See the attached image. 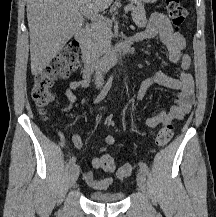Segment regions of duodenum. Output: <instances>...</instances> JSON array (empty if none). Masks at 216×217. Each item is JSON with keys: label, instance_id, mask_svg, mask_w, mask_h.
Here are the masks:
<instances>
[{"label": "duodenum", "instance_id": "obj_1", "mask_svg": "<svg viewBox=\"0 0 216 217\" xmlns=\"http://www.w3.org/2000/svg\"><path fill=\"white\" fill-rule=\"evenodd\" d=\"M76 38L84 49H88L87 31L85 28L76 32ZM138 41H140L139 36H129L109 47V49L101 55L91 50H86L84 54V67L82 73L92 76L105 71L120 59L122 55L127 53Z\"/></svg>", "mask_w": 216, "mask_h": 217}]
</instances>
